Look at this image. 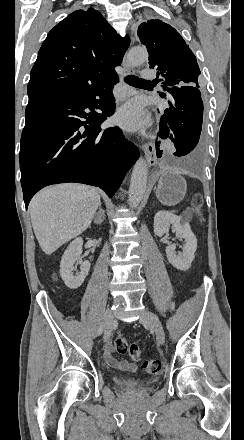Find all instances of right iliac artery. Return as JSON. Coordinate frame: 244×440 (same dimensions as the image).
<instances>
[{"label":"right iliac artery","instance_id":"right-iliac-artery-1","mask_svg":"<svg viewBox=\"0 0 244 440\" xmlns=\"http://www.w3.org/2000/svg\"><path fill=\"white\" fill-rule=\"evenodd\" d=\"M104 326H105V324L102 323L100 328H99V334H101L103 332Z\"/></svg>","mask_w":244,"mask_h":440}]
</instances>
